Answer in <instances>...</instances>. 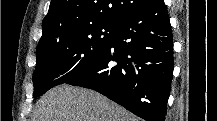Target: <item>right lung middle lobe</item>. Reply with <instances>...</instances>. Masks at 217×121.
<instances>
[{"label": "right lung middle lobe", "mask_w": 217, "mask_h": 121, "mask_svg": "<svg viewBox=\"0 0 217 121\" xmlns=\"http://www.w3.org/2000/svg\"><path fill=\"white\" fill-rule=\"evenodd\" d=\"M118 25H86L38 47L33 97L43 95L86 70L105 51Z\"/></svg>", "instance_id": "1"}]
</instances>
